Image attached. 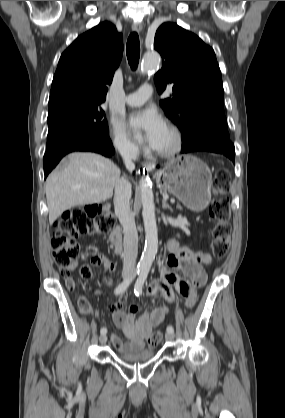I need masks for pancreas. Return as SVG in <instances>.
Masks as SVG:
<instances>
[{"label": "pancreas", "instance_id": "obj_1", "mask_svg": "<svg viewBox=\"0 0 285 418\" xmlns=\"http://www.w3.org/2000/svg\"><path fill=\"white\" fill-rule=\"evenodd\" d=\"M177 207H178V208H181V205H179V204H178V205H177Z\"/></svg>", "mask_w": 285, "mask_h": 418}]
</instances>
